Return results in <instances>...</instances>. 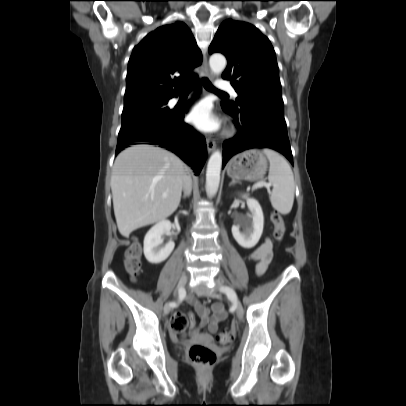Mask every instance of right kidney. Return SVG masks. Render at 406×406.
Returning a JSON list of instances; mask_svg holds the SVG:
<instances>
[{
	"mask_svg": "<svg viewBox=\"0 0 406 406\" xmlns=\"http://www.w3.org/2000/svg\"><path fill=\"white\" fill-rule=\"evenodd\" d=\"M171 223L168 220H163L155 224L146 234L144 238V255L148 262L158 264L166 260L174 249V242L169 241L164 247L163 234L170 231Z\"/></svg>",
	"mask_w": 406,
	"mask_h": 406,
	"instance_id": "1",
	"label": "right kidney"
}]
</instances>
